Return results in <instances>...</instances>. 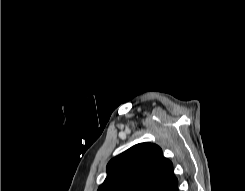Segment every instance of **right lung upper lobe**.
I'll return each mask as SVG.
<instances>
[{"instance_id": "right-lung-upper-lobe-1", "label": "right lung upper lobe", "mask_w": 245, "mask_h": 191, "mask_svg": "<svg viewBox=\"0 0 245 191\" xmlns=\"http://www.w3.org/2000/svg\"><path fill=\"white\" fill-rule=\"evenodd\" d=\"M178 186L171 161L159 146L140 143L113 158L98 191H175Z\"/></svg>"}]
</instances>
